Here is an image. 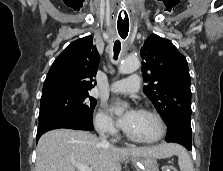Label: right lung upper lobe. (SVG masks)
I'll use <instances>...</instances> for the list:
<instances>
[{
	"instance_id": "right-lung-upper-lobe-1",
	"label": "right lung upper lobe",
	"mask_w": 223,
	"mask_h": 171,
	"mask_svg": "<svg viewBox=\"0 0 223 171\" xmlns=\"http://www.w3.org/2000/svg\"><path fill=\"white\" fill-rule=\"evenodd\" d=\"M99 61L91 36L70 43L53 62L41 98L65 92H89L94 87Z\"/></svg>"
}]
</instances>
